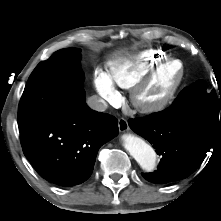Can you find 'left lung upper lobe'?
<instances>
[{
	"label": "left lung upper lobe",
	"mask_w": 221,
	"mask_h": 221,
	"mask_svg": "<svg viewBox=\"0 0 221 221\" xmlns=\"http://www.w3.org/2000/svg\"><path fill=\"white\" fill-rule=\"evenodd\" d=\"M220 98L213 90H207V83L199 80L191 86L185 88L173 102V104L165 110L167 115H217L219 116Z\"/></svg>",
	"instance_id": "5c2ea615"
}]
</instances>
